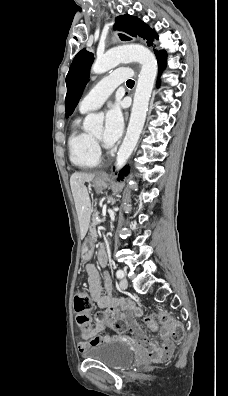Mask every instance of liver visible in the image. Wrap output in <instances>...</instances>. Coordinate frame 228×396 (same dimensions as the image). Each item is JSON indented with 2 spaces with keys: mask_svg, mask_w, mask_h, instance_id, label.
<instances>
[{
  "mask_svg": "<svg viewBox=\"0 0 228 396\" xmlns=\"http://www.w3.org/2000/svg\"><path fill=\"white\" fill-rule=\"evenodd\" d=\"M94 177V174L86 173H74L70 177V186L80 223L82 238L87 232L91 211L90 197L85 182H91Z\"/></svg>",
  "mask_w": 228,
  "mask_h": 396,
  "instance_id": "6515ba94",
  "label": "liver"
}]
</instances>
